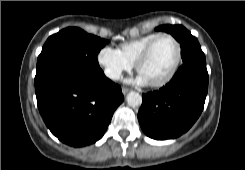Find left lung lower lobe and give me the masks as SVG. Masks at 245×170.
<instances>
[{"label": "left lung lower lobe", "instance_id": "obj_1", "mask_svg": "<svg viewBox=\"0 0 245 170\" xmlns=\"http://www.w3.org/2000/svg\"><path fill=\"white\" fill-rule=\"evenodd\" d=\"M207 90L206 65L184 63L166 86L143 95L138 112L142 130L157 140L179 137L200 116Z\"/></svg>", "mask_w": 245, "mask_h": 170}]
</instances>
